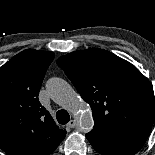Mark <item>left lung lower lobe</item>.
<instances>
[{
  "instance_id": "0a47b994",
  "label": "left lung lower lobe",
  "mask_w": 155,
  "mask_h": 155,
  "mask_svg": "<svg viewBox=\"0 0 155 155\" xmlns=\"http://www.w3.org/2000/svg\"><path fill=\"white\" fill-rule=\"evenodd\" d=\"M151 125L93 129L86 134L93 148L103 155H134L144 145Z\"/></svg>"
}]
</instances>
